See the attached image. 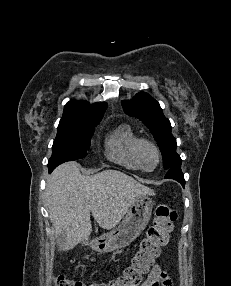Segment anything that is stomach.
<instances>
[{"label":"stomach","instance_id":"0dacf381","mask_svg":"<svg viewBox=\"0 0 231 286\" xmlns=\"http://www.w3.org/2000/svg\"><path fill=\"white\" fill-rule=\"evenodd\" d=\"M153 203L147 197H139L129 208L119 226L90 242L82 241V245H89L95 251L106 253L127 247L132 243L149 223Z\"/></svg>","mask_w":231,"mask_h":286}]
</instances>
